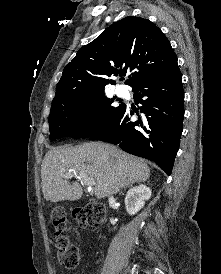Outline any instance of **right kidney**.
<instances>
[{"label": "right kidney", "mask_w": 221, "mask_h": 274, "mask_svg": "<svg viewBox=\"0 0 221 274\" xmlns=\"http://www.w3.org/2000/svg\"><path fill=\"white\" fill-rule=\"evenodd\" d=\"M151 194V189L143 184L129 189L125 197L127 212L130 215H135L144 207L145 200H149Z\"/></svg>", "instance_id": "ca27d5eb"}]
</instances>
